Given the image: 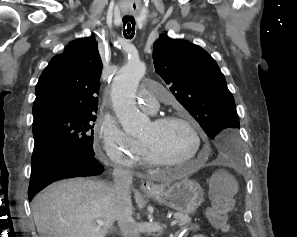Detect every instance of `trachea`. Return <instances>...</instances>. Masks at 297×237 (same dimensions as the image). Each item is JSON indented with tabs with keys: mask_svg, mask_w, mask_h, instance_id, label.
Here are the masks:
<instances>
[{
	"mask_svg": "<svg viewBox=\"0 0 297 237\" xmlns=\"http://www.w3.org/2000/svg\"><path fill=\"white\" fill-rule=\"evenodd\" d=\"M124 36L127 39H132L135 31V19L132 17L123 18Z\"/></svg>",
	"mask_w": 297,
	"mask_h": 237,
	"instance_id": "obj_1",
	"label": "trachea"
}]
</instances>
